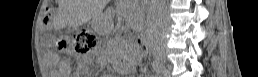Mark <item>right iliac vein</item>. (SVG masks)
<instances>
[{
    "label": "right iliac vein",
    "mask_w": 258,
    "mask_h": 77,
    "mask_svg": "<svg viewBox=\"0 0 258 77\" xmlns=\"http://www.w3.org/2000/svg\"><path fill=\"white\" fill-rule=\"evenodd\" d=\"M161 59L163 60V62H165V59H164V56H163V55H161Z\"/></svg>",
    "instance_id": "right-iliac-vein-1"
}]
</instances>
